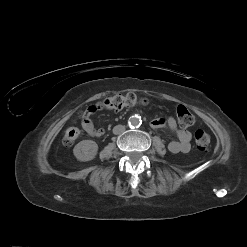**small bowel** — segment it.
<instances>
[{
  "label": "small bowel",
  "instance_id": "obj_1",
  "mask_svg": "<svg viewBox=\"0 0 247 247\" xmlns=\"http://www.w3.org/2000/svg\"><path fill=\"white\" fill-rule=\"evenodd\" d=\"M93 106L89 107L86 115L84 116L81 125L83 130L92 137H100L104 134L103 128H96L93 124L90 116L95 112ZM151 127L153 129L167 128L171 132L175 133L177 140L171 141L168 144V149L171 153H187L191 148V133L186 129H178L177 122L174 118L167 119L156 118L151 121Z\"/></svg>",
  "mask_w": 247,
  "mask_h": 247
}]
</instances>
